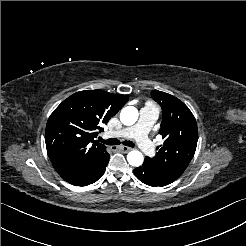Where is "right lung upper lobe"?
<instances>
[{
  "mask_svg": "<svg viewBox=\"0 0 246 246\" xmlns=\"http://www.w3.org/2000/svg\"><path fill=\"white\" fill-rule=\"evenodd\" d=\"M128 98V95L88 90L64 100L46 126V148L53 166L97 161L106 152L105 146L94 140L101 129L99 123H107Z\"/></svg>",
  "mask_w": 246,
  "mask_h": 246,
  "instance_id": "cb5924a9",
  "label": "right lung upper lobe"
}]
</instances>
